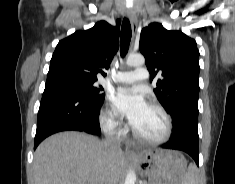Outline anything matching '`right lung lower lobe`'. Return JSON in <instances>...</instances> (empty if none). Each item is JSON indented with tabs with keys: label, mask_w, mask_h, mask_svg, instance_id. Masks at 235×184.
Listing matches in <instances>:
<instances>
[{
	"label": "right lung lower lobe",
	"mask_w": 235,
	"mask_h": 184,
	"mask_svg": "<svg viewBox=\"0 0 235 184\" xmlns=\"http://www.w3.org/2000/svg\"><path fill=\"white\" fill-rule=\"evenodd\" d=\"M103 104L61 84L45 86L37 119L34 150L48 136L61 131H83L100 136Z\"/></svg>",
	"instance_id": "right-lung-lower-lobe-1"
}]
</instances>
